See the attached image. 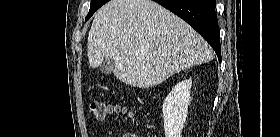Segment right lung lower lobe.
I'll list each match as a JSON object with an SVG mask.
<instances>
[{"instance_id": "1", "label": "right lung lower lobe", "mask_w": 280, "mask_h": 137, "mask_svg": "<svg viewBox=\"0 0 280 137\" xmlns=\"http://www.w3.org/2000/svg\"><path fill=\"white\" fill-rule=\"evenodd\" d=\"M185 20L212 46L221 62L216 0H154Z\"/></svg>"}]
</instances>
